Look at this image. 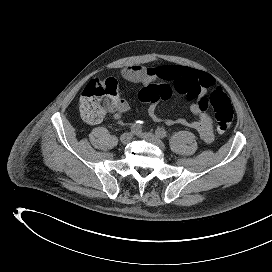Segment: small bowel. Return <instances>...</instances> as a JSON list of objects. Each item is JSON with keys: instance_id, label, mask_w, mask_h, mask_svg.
I'll return each instance as SVG.
<instances>
[{"instance_id": "obj_1", "label": "small bowel", "mask_w": 272, "mask_h": 272, "mask_svg": "<svg viewBox=\"0 0 272 272\" xmlns=\"http://www.w3.org/2000/svg\"><path fill=\"white\" fill-rule=\"evenodd\" d=\"M121 76L132 83L149 85L156 81L170 82L174 90L185 95L190 102V111L197 117L195 121L184 118L161 120L156 113L157 103H151L147 109L150 118L156 122H164L168 126L182 125L195 130L203 142L214 140L212 119L207 112V92L214 85L211 74L185 66L162 65L144 67L127 66L121 71ZM131 105L125 99L117 97L110 113L119 116L131 110Z\"/></svg>"}]
</instances>
